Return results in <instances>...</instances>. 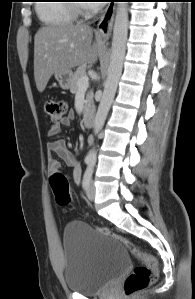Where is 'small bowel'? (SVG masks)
<instances>
[{"label": "small bowel", "instance_id": "c3829d8e", "mask_svg": "<svg viewBox=\"0 0 195 299\" xmlns=\"http://www.w3.org/2000/svg\"><path fill=\"white\" fill-rule=\"evenodd\" d=\"M73 120V114L70 113L66 117H64L59 122L53 123L49 130V136H56L60 133L62 127H69ZM48 151L51 154H56L59 158H61L67 167L72 170V180L78 184L81 179V167L77 161L75 155L67 148L64 140L59 139L53 142H50L47 146ZM49 168L51 170H55L59 168V163L54 160L52 157L49 158Z\"/></svg>", "mask_w": 195, "mask_h": 299}]
</instances>
